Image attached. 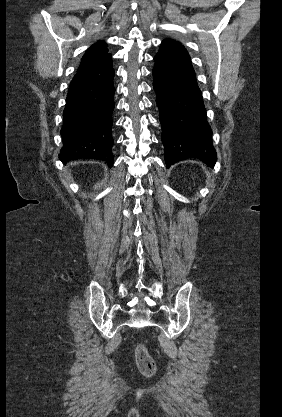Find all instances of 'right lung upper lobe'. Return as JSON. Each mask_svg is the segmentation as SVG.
Here are the masks:
<instances>
[{
  "instance_id": "obj_1",
  "label": "right lung upper lobe",
  "mask_w": 282,
  "mask_h": 417,
  "mask_svg": "<svg viewBox=\"0 0 282 417\" xmlns=\"http://www.w3.org/2000/svg\"><path fill=\"white\" fill-rule=\"evenodd\" d=\"M110 59H111V54L108 53L106 43L103 41H98L96 44L91 46L86 51V53L84 54L81 60V64L78 68V71H82L84 69L98 65Z\"/></svg>"
}]
</instances>
